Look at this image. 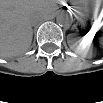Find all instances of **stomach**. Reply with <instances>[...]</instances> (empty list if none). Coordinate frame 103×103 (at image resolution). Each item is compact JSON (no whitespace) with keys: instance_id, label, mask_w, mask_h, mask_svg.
<instances>
[{"instance_id":"1","label":"stomach","mask_w":103,"mask_h":103,"mask_svg":"<svg viewBox=\"0 0 103 103\" xmlns=\"http://www.w3.org/2000/svg\"><path fill=\"white\" fill-rule=\"evenodd\" d=\"M100 2L98 1H82L75 3L76 10L84 17V13L88 16L90 13L93 15L101 13Z\"/></svg>"}]
</instances>
